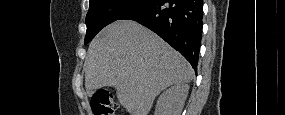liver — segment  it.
<instances>
[{
    "mask_svg": "<svg viewBox=\"0 0 285 115\" xmlns=\"http://www.w3.org/2000/svg\"><path fill=\"white\" fill-rule=\"evenodd\" d=\"M84 68L87 94L114 87L119 103L131 115H148L162 90L188 83L194 76L179 52L131 20L113 22L96 36Z\"/></svg>",
    "mask_w": 285,
    "mask_h": 115,
    "instance_id": "6515ba94",
    "label": "liver"
}]
</instances>
